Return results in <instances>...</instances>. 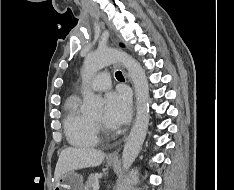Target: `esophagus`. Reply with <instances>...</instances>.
Returning <instances> with one entry per match:
<instances>
[{"label": "esophagus", "instance_id": "1", "mask_svg": "<svg viewBox=\"0 0 234 190\" xmlns=\"http://www.w3.org/2000/svg\"><path fill=\"white\" fill-rule=\"evenodd\" d=\"M120 148H118L117 150H115L114 152L110 153L108 155L109 159H118V153H119Z\"/></svg>", "mask_w": 234, "mask_h": 190}]
</instances>
